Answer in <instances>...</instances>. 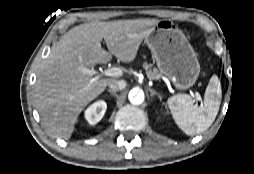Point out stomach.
<instances>
[{
	"label": "stomach",
	"instance_id": "1",
	"mask_svg": "<svg viewBox=\"0 0 254 174\" xmlns=\"http://www.w3.org/2000/svg\"><path fill=\"white\" fill-rule=\"evenodd\" d=\"M159 71L176 89L186 90L197 81L200 65L185 34L171 21L160 20L145 37Z\"/></svg>",
	"mask_w": 254,
	"mask_h": 174
}]
</instances>
